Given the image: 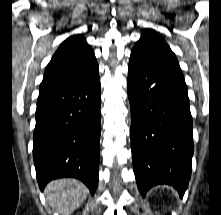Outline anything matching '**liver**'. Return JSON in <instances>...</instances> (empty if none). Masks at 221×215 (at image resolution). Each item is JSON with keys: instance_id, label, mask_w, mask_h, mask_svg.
Returning a JSON list of instances; mask_svg holds the SVG:
<instances>
[{"instance_id": "liver-1", "label": "liver", "mask_w": 221, "mask_h": 215, "mask_svg": "<svg viewBox=\"0 0 221 215\" xmlns=\"http://www.w3.org/2000/svg\"><path fill=\"white\" fill-rule=\"evenodd\" d=\"M88 189L80 181L64 178L51 181L44 189L46 201L60 215H70L86 199Z\"/></svg>"}]
</instances>
